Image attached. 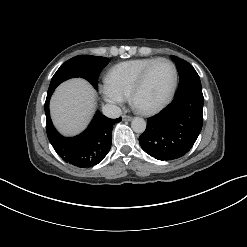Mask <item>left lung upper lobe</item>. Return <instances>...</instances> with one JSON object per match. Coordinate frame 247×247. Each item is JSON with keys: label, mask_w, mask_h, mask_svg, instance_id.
Masks as SVG:
<instances>
[{"label": "left lung upper lobe", "mask_w": 247, "mask_h": 247, "mask_svg": "<svg viewBox=\"0 0 247 247\" xmlns=\"http://www.w3.org/2000/svg\"><path fill=\"white\" fill-rule=\"evenodd\" d=\"M170 57L176 62V67L179 73V85L177 92L185 89L201 88L200 78L195 69L188 62L180 59L179 57L173 55Z\"/></svg>", "instance_id": "5c2ea615"}]
</instances>
